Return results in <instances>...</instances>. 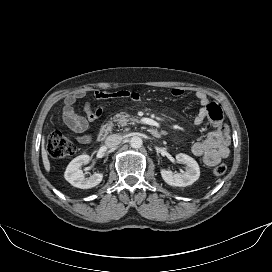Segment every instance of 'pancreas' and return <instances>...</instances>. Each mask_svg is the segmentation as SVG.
<instances>
[{
  "label": "pancreas",
  "mask_w": 272,
  "mask_h": 272,
  "mask_svg": "<svg viewBox=\"0 0 272 272\" xmlns=\"http://www.w3.org/2000/svg\"><path fill=\"white\" fill-rule=\"evenodd\" d=\"M111 119L119 126H126L128 124H135L137 122V119L127 114H116Z\"/></svg>",
  "instance_id": "obj_1"
}]
</instances>
